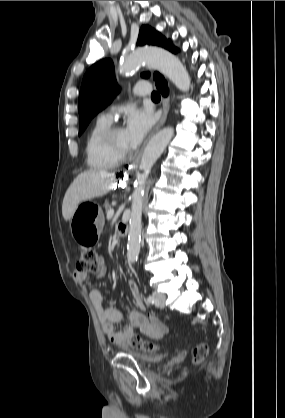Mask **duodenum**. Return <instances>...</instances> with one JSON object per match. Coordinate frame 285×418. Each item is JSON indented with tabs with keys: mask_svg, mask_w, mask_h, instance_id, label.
I'll use <instances>...</instances> for the list:
<instances>
[{
	"mask_svg": "<svg viewBox=\"0 0 285 418\" xmlns=\"http://www.w3.org/2000/svg\"><path fill=\"white\" fill-rule=\"evenodd\" d=\"M126 231H127V229L125 228V226H123V225H119V227H118V233H119L120 235L125 234V233H126Z\"/></svg>",
	"mask_w": 285,
	"mask_h": 418,
	"instance_id": "410a0bca",
	"label": "duodenum"
}]
</instances>
